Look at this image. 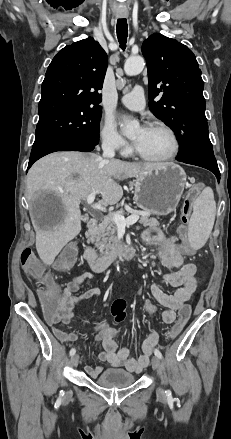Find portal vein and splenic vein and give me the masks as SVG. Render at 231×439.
Instances as JSON below:
<instances>
[{
  "label": "portal vein and splenic vein",
  "mask_w": 231,
  "mask_h": 439,
  "mask_svg": "<svg viewBox=\"0 0 231 439\" xmlns=\"http://www.w3.org/2000/svg\"><path fill=\"white\" fill-rule=\"evenodd\" d=\"M95 193H91L87 197V203L94 209L99 211H106V209L99 203H94L95 200ZM139 219L138 214H132L131 216L125 218L123 215L120 214H113V221L116 223L118 227H125L126 225H132L136 223Z\"/></svg>",
  "instance_id": "portal-vein-and-splenic-vein-1"
}]
</instances>
